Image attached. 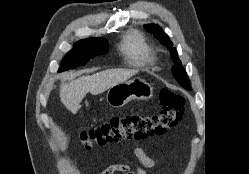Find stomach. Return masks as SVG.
<instances>
[{
    "label": "stomach",
    "mask_w": 249,
    "mask_h": 174,
    "mask_svg": "<svg viewBox=\"0 0 249 174\" xmlns=\"http://www.w3.org/2000/svg\"><path fill=\"white\" fill-rule=\"evenodd\" d=\"M153 95L152 86L141 78L118 83L109 88L106 100L112 107H123L133 99L147 100Z\"/></svg>",
    "instance_id": "obj_1"
}]
</instances>
